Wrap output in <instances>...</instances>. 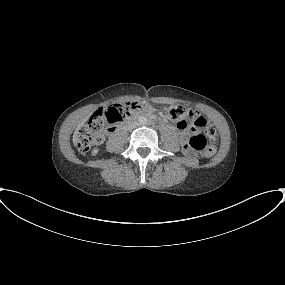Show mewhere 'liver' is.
Listing matches in <instances>:
<instances>
[{
	"instance_id": "6515ba94",
	"label": "liver",
	"mask_w": 285,
	"mask_h": 285,
	"mask_svg": "<svg viewBox=\"0 0 285 285\" xmlns=\"http://www.w3.org/2000/svg\"><path fill=\"white\" fill-rule=\"evenodd\" d=\"M87 119H88V116L82 120V122L79 124L78 128L74 132V135H73V143H74V145H77L78 140H79V138H78V133H79L78 130H79V128L81 126H83V124L87 121Z\"/></svg>"
}]
</instances>
